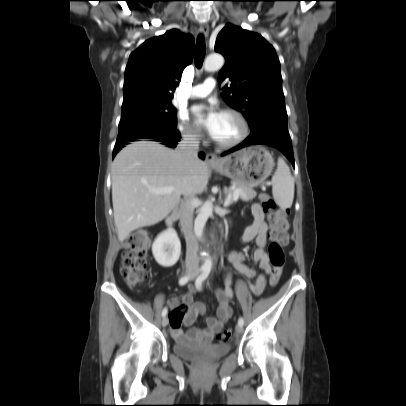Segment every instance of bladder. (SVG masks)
Returning a JSON list of instances; mask_svg holds the SVG:
<instances>
[{
  "mask_svg": "<svg viewBox=\"0 0 406 406\" xmlns=\"http://www.w3.org/2000/svg\"><path fill=\"white\" fill-rule=\"evenodd\" d=\"M230 351L228 345L203 347L192 343L175 342L173 352L184 359L198 360L201 358L215 359L226 355Z\"/></svg>",
  "mask_w": 406,
  "mask_h": 406,
  "instance_id": "obj_1",
  "label": "bladder"
}]
</instances>
